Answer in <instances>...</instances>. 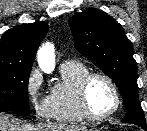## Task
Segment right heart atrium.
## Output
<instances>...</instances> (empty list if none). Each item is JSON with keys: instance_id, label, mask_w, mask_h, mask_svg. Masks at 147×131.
<instances>
[{"instance_id": "d8ad5b80", "label": "right heart atrium", "mask_w": 147, "mask_h": 131, "mask_svg": "<svg viewBox=\"0 0 147 131\" xmlns=\"http://www.w3.org/2000/svg\"><path fill=\"white\" fill-rule=\"evenodd\" d=\"M26 94L35 114L39 118H49L51 115L50 97L44 92L43 77L33 69L26 80Z\"/></svg>"}]
</instances>
